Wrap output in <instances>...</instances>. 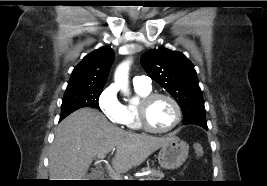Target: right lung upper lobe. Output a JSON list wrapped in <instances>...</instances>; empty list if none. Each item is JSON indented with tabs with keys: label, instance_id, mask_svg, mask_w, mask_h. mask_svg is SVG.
<instances>
[{
	"label": "right lung upper lobe",
	"instance_id": "right-lung-upper-lobe-1",
	"mask_svg": "<svg viewBox=\"0 0 267 186\" xmlns=\"http://www.w3.org/2000/svg\"><path fill=\"white\" fill-rule=\"evenodd\" d=\"M114 60L110 47H101L86 55L74 68L67 89L102 88Z\"/></svg>",
	"mask_w": 267,
	"mask_h": 186
}]
</instances>
